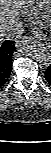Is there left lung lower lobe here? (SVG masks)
<instances>
[{
	"mask_svg": "<svg viewBox=\"0 0 51 153\" xmlns=\"http://www.w3.org/2000/svg\"><path fill=\"white\" fill-rule=\"evenodd\" d=\"M45 77L48 83L51 85V65L47 68Z\"/></svg>",
	"mask_w": 51,
	"mask_h": 153,
	"instance_id": "0a47b994",
	"label": "left lung lower lobe"
}]
</instances>
